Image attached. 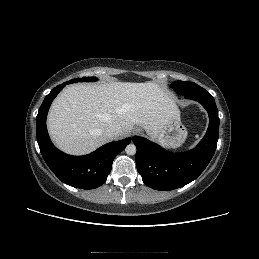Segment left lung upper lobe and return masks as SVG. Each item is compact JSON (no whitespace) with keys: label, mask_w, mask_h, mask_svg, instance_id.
<instances>
[{"label":"left lung upper lobe","mask_w":259,"mask_h":259,"mask_svg":"<svg viewBox=\"0 0 259 259\" xmlns=\"http://www.w3.org/2000/svg\"><path fill=\"white\" fill-rule=\"evenodd\" d=\"M171 88H173L177 94L179 95H188L193 93H202L206 90L199 85H197L194 82L189 81H176L173 82L170 85Z\"/></svg>","instance_id":"1"}]
</instances>
